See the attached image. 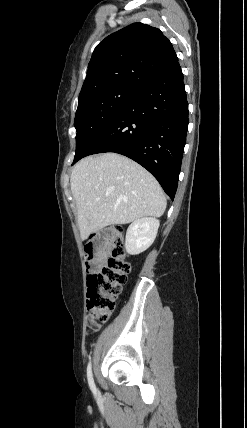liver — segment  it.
Returning <instances> with one entry per match:
<instances>
[{"label":"liver","mask_w":247,"mask_h":428,"mask_svg":"<svg viewBox=\"0 0 247 428\" xmlns=\"http://www.w3.org/2000/svg\"><path fill=\"white\" fill-rule=\"evenodd\" d=\"M70 185L83 240L109 225L161 217L167 205L157 180L136 162L116 153L79 161Z\"/></svg>","instance_id":"obj_1"}]
</instances>
